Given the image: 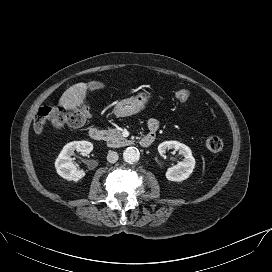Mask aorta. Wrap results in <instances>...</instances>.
<instances>
[{
    "mask_svg": "<svg viewBox=\"0 0 272 272\" xmlns=\"http://www.w3.org/2000/svg\"><path fill=\"white\" fill-rule=\"evenodd\" d=\"M140 153L134 147H128L123 152V158L128 163H133L139 160Z\"/></svg>",
    "mask_w": 272,
    "mask_h": 272,
    "instance_id": "762f6f07",
    "label": "aorta"
}]
</instances>
